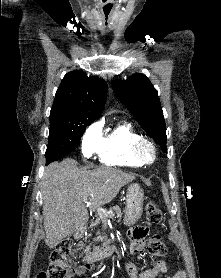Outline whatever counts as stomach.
<instances>
[{"label":"stomach","instance_id":"0dacf381","mask_svg":"<svg viewBox=\"0 0 221 278\" xmlns=\"http://www.w3.org/2000/svg\"><path fill=\"white\" fill-rule=\"evenodd\" d=\"M144 191L136 183H132L127 188L125 224L133 226L143 213Z\"/></svg>","mask_w":221,"mask_h":278}]
</instances>
